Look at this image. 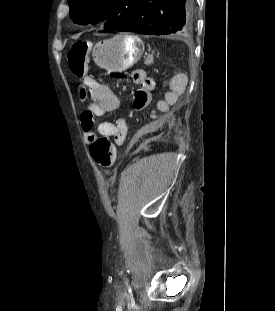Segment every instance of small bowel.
<instances>
[{
    "mask_svg": "<svg viewBox=\"0 0 275 311\" xmlns=\"http://www.w3.org/2000/svg\"><path fill=\"white\" fill-rule=\"evenodd\" d=\"M131 75L138 90L134 92L133 106L136 109L150 108L148 121L156 122L162 112H170L171 103H177L178 98H185L186 87H190V80H185V73H170V80H161L162 91L158 94L156 81L151 80V73L147 69H132ZM87 85L91 89L92 101L83 106L80 113L82 128L86 139L91 142L95 137V130L104 136L113 137L117 144H122L128 131V123L124 119L102 121L96 124L94 116H103L119 108L120 101L113 90L106 84L95 82L88 78ZM154 102V106H153Z\"/></svg>",
    "mask_w": 275,
    "mask_h": 311,
    "instance_id": "1",
    "label": "small bowel"
}]
</instances>
